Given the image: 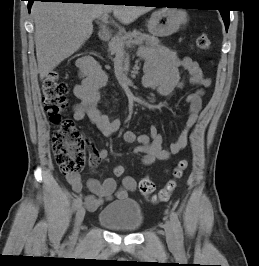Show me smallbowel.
I'll return each instance as SVG.
<instances>
[{"label":"small bowel","mask_w":259,"mask_h":266,"mask_svg":"<svg viewBox=\"0 0 259 266\" xmlns=\"http://www.w3.org/2000/svg\"><path fill=\"white\" fill-rule=\"evenodd\" d=\"M141 54L145 60L142 85L155 91L159 96L169 98L187 84L199 87L186 97L187 121L184 129L169 149L164 148V138L155 126H151L149 135H137L133 131L124 133L123 138L126 142H138L134 153L140 157L144 166H149L156 160H169L172 155L179 153L187 146L189 131L196 123L203 107L204 89L211 85V79L204 74L197 61L191 57L180 58L174 51L164 46L143 50ZM85 61L86 59H82L79 62L82 81L75 87L74 92L80 101L73 107V118L76 121L88 119L105 137L109 138L119 131L121 122L118 119H110L105 112L99 109L101 88L107 82V75L93 61L90 70L86 71L83 68ZM181 69L188 71L189 78L187 80L181 78ZM107 156V149L91 147V166H97ZM67 181L74 192L82 194L83 184L79 174L67 175ZM87 187L90 194L84 198L85 205L89 211H95L105 201L111 200L113 196L120 200L126 199L128 193L136 189V181L131 177H125L120 187L117 188L113 178L109 177L103 181L92 178L88 180Z\"/></svg>","instance_id":"obj_1"}]
</instances>
